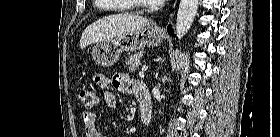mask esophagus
I'll return each instance as SVG.
<instances>
[{
    "label": "esophagus",
    "mask_w": 280,
    "mask_h": 137,
    "mask_svg": "<svg viewBox=\"0 0 280 137\" xmlns=\"http://www.w3.org/2000/svg\"><path fill=\"white\" fill-rule=\"evenodd\" d=\"M158 31H160V32H163V33H164V32H165V29L162 27V28H159V29H158Z\"/></svg>",
    "instance_id": "esophagus-1"
}]
</instances>
